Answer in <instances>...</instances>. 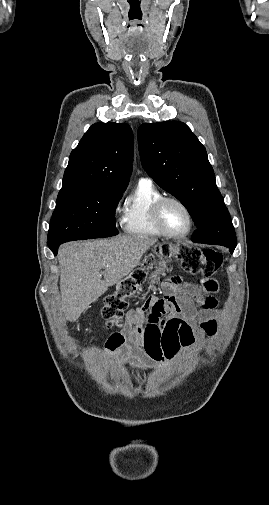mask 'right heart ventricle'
<instances>
[{
  "mask_svg": "<svg viewBox=\"0 0 269 505\" xmlns=\"http://www.w3.org/2000/svg\"><path fill=\"white\" fill-rule=\"evenodd\" d=\"M161 196V192L151 182H138L125 206L123 226L126 233L149 237L163 236L155 226L151 214L153 203Z\"/></svg>",
  "mask_w": 269,
  "mask_h": 505,
  "instance_id": "right-heart-ventricle-1",
  "label": "right heart ventricle"
}]
</instances>
